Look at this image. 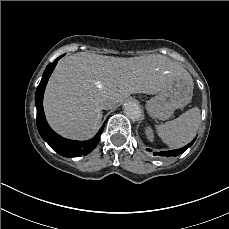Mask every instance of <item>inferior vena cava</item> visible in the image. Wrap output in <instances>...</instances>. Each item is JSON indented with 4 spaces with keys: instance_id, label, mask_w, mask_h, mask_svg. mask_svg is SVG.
I'll use <instances>...</instances> for the list:
<instances>
[{
    "instance_id": "602c4592",
    "label": "inferior vena cava",
    "mask_w": 229,
    "mask_h": 229,
    "mask_svg": "<svg viewBox=\"0 0 229 229\" xmlns=\"http://www.w3.org/2000/svg\"><path fill=\"white\" fill-rule=\"evenodd\" d=\"M103 109H109L107 103L102 105Z\"/></svg>"
}]
</instances>
